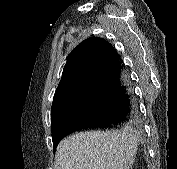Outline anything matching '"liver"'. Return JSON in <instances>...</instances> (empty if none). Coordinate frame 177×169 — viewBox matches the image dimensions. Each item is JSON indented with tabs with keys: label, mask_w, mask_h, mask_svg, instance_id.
<instances>
[{
	"label": "liver",
	"mask_w": 177,
	"mask_h": 169,
	"mask_svg": "<svg viewBox=\"0 0 177 169\" xmlns=\"http://www.w3.org/2000/svg\"><path fill=\"white\" fill-rule=\"evenodd\" d=\"M138 139L132 130L87 131L63 139L55 154V169H130Z\"/></svg>",
	"instance_id": "obj_1"
}]
</instances>
